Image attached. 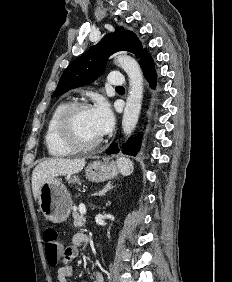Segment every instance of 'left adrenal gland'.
<instances>
[{"instance_id": "obj_1", "label": "left adrenal gland", "mask_w": 232, "mask_h": 282, "mask_svg": "<svg viewBox=\"0 0 232 282\" xmlns=\"http://www.w3.org/2000/svg\"><path fill=\"white\" fill-rule=\"evenodd\" d=\"M114 186L112 185L111 182H108L103 189H101L98 193H97V196H103L105 195L108 191H110L111 189H113Z\"/></svg>"}]
</instances>
